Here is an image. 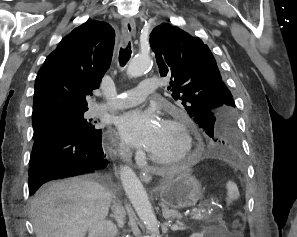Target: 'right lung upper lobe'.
<instances>
[{
    "instance_id": "cb5924a9",
    "label": "right lung upper lobe",
    "mask_w": 297,
    "mask_h": 237,
    "mask_svg": "<svg viewBox=\"0 0 297 237\" xmlns=\"http://www.w3.org/2000/svg\"><path fill=\"white\" fill-rule=\"evenodd\" d=\"M114 42L113 28L99 21L67 35L37 74L32 120L59 111H87L86 95H92L107 71Z\"/></svg>"
}]
</instances>
